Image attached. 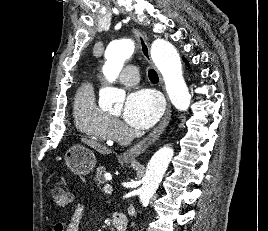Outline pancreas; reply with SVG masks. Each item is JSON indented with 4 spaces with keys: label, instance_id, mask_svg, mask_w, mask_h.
<instances>
[{
    "label": "pancreas",
    "instance_id": "1",
    "mask_svg": "<svg viewBox=\"0 0 268 231\" xmlns=\"http://www.w3.org/2000/svg\"><path fill=\"white\" fill-rule=\"evenodd\" d=\"M105 172V168L104 167H99L96 170V174H95V181L97 182L98 186L104 184V178H103V173Z\"/></svg>",
    "mask_w": 268,
    "mask_h": 231
}]
</instances>
